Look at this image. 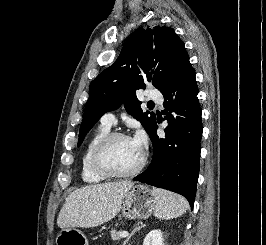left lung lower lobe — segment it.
I'll list each match as a JSON object with an SVG mask.
<instances>
[{
	"label": "left lung lower lobe",
	"mask_w": 266,
	"mask_h": 245,
	"mask_svg": "<svg viewBox=\"0 0 266 245\" xmlns=\"http://www.w3.org/2000/svg\"><path fill=\"white\" fill-rule=\"evenodd\" d=\"M161 93L165 110H169L165 113L169 124L165 129L166 136L163 139L156 134L155 119L148 132L153 144L152 161L133 180L179 193L189 200L193 208L203 128L195 71L189 57L180 63Z\"/></svg>",
	"instance_id": "0a47b994"
}]
</instances>
